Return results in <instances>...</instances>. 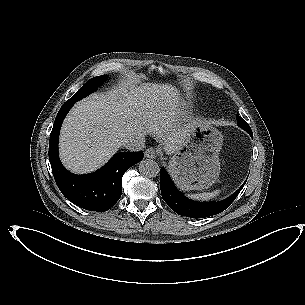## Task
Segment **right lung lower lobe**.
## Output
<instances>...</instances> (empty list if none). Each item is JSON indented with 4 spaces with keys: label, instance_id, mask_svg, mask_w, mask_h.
Masks as SVG:
<instances>
[{
    "label": "right lung lower lobe",
    "instance_id": "right-lung-lower-lobe-1",
    "mask_svg": "<svg viewBox=\"0 0 305 305\" xmlns=\"http://www.w3.org/2000/svg\"><path fill=\"white\" fill-rule=\"evenodd\" d=\"M74 102L67 100L60 108L50 135L49 160L62 194L77 206L91 211H107L121 197L122 176L143 159V152H121L94 173L75 175L67 171L58 157V137L62 121Z\"/></svg>",
    "mask_w": 305,
    "mask_h": 305
}]
</instances>
